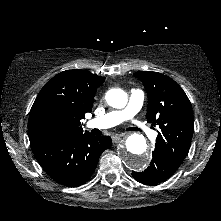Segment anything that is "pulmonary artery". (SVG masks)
Here are the masks:
<instances>
[{
	"label": "pulmonary artery",
	"instance_id": "pulmonary-artery-1",
	"mask_svg": "<svg viewBox=\"0 0 221 221\" xmlns=\"http://www.w3.org/2000/svg\"><path fill=\"white\" fill-rule=\"evenodd\" d=\"M143 100L144 93L139 89H133L130 93L128 104L124 109L94 118L87 123V126L90 128L105 129L116 126L124 121H130L141 132H144L150 137H155L156 133L154 131L144 122L136 119V115L143 105Z\"/></svg>",
	"mask_w": 221,
	"mask_h": 221
}]
</instances>
